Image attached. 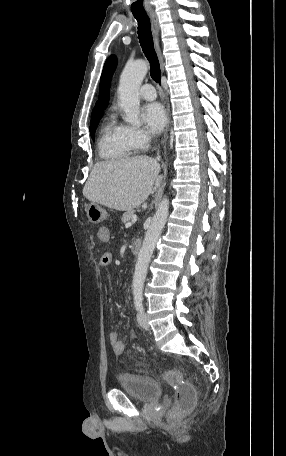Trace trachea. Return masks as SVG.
Returning <instances> with one entry per match:
<instances>
[{
  "label": "trachea",
  "mask_w": 286,
  "mask_h": 456,
  "mask_svg": "<svg viewBox=\"0 0 286 456\" xmlns=\"http://www.w3.org/2000/svg\"><path fill=\"white\" fill-rule=\"evenodd\" d=\"M138 22V39L143 53L150 63V75L156 83H160L161 71L159 61L154 49L150 19L146 12L133 13Z\"/></svg>",
  "instance_id": "obj_1"
}]
</instances>
